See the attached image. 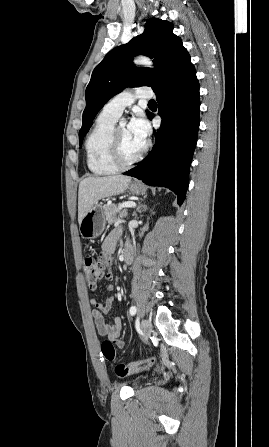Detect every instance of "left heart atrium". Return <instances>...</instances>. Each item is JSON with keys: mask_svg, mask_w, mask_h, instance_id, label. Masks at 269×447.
<instances>
[{"mask_svg": "<svg viewBox=\"0 0 269 447\" xmlns=\"http://www.w3.org/2000/svg\"><path fill=\"white\" fill-rule=\"evenodd\" d=\"M130 130L140 139L146 141L150 134L149 124L141 112H136L129 124Z\"/></svg>", "mask_w": 269, "mask_h": 447, "instance_id": "1", "label": "left heart atrium"}]
</instances>
